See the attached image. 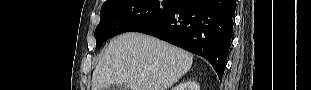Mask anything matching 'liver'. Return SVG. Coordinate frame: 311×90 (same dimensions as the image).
Listing matches in <instances>:
<instances>
[{
  "instance_id": "obj_1",
  "label": "liver",
  "mask_w": 311,
  "mask_h": 90,
  "mask_svg": "<svg viewBox=\"0 0 311 90\" xmlns=\"http://www.w3.org/2000/svg\"><path fill=\"white\" fill-rule=\"evenodd\" d=\"M193 55L152 36L129 32L108 45L92 75V90H167L191 68Z\"/></svg>"
}]
</instances>
